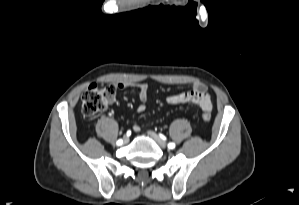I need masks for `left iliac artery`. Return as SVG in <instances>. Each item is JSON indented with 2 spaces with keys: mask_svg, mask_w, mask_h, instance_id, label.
Listing matches in <instances>:
<instances>
[{
  "mask_svg": "<svg viewBox=\"0 0 299 205\" xmlns=\"http://www.w3.org/2000/svg\"><path fill=\"white\" fill-rule=\"evenodd\" d=\"M168 148L169 149H174L175 148V143H169Z\"/></svg>",
  "mask_w": 299,
  "mask_h": 205,
  "instance_id": "1",
  "label": "left iliac artery"
}]
</instances>
